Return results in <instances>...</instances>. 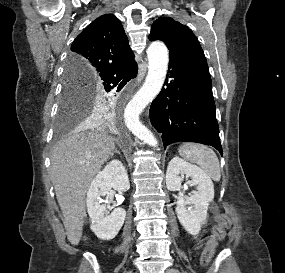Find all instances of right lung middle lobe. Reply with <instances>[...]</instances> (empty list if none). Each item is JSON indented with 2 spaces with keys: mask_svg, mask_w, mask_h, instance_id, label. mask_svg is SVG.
I'll use <instances>...</instances> for the list:
<instances>
[{
  "mask_svg": "<svg viewBox=\"0 0 285 273\" xmlns=\"http://www.w3.org/2000/svg\"><path fill=\"white\" fill-rule=\"evenodd\" d=\"M68 65V63H67ZM116 95L104 94L94 89L87 79L65 70L64 83L57 120L58 128L64 129L92 113L97 112L104 104H115Z\"/></svg>",
  "mask_w": 285,
  "mask_h": 273,
  "instance_id": "right-lung-middle-lobe-1",
  "label": "right lung middle lobe"
}]
</instances>
